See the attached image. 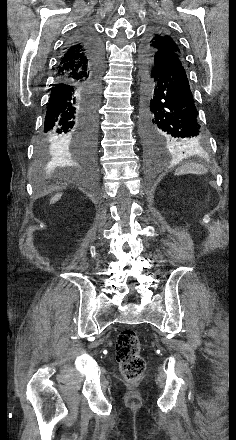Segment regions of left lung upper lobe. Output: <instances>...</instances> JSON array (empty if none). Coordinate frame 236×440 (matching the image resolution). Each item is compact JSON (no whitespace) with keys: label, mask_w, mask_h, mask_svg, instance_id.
<instances>
[{"label":"left lung upper lobe","mask_w":236,"mask_h":440,"mask_svg":"<svg viewBox=\"0 0 236 440\" xmlns=\"http://www.w3.org/2000/svg\"><path fill=\"white\" fill-rule=\"evenodd\" d=\"M142 61L155 64L158 60L171 56L183 58L176 41L162 29H154L145 37L141 45Z\"/></svg>","instance_id":"left-lung-upper-lobe-1"}]
</instances>
